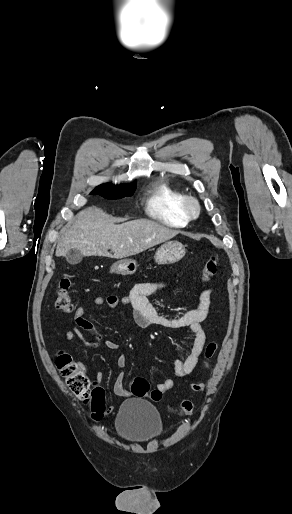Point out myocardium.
<instances>
[{
	"mask_svg": "<svg viewBox=\"0 0 292 514\" xmlns=\"http://www.w3.org/2000/svg\"><path fill=\"white\" fill-rule=\"evenodd\" d=\"M180 209L188 219L196 218L200 213L198 200L191 195H184L180 201Z\"/></svg>",
	"mask_w": 292,
	"mask_h": 514,
	"instance_id": "1",
	"label": "myocardium"
}]
</instances>
